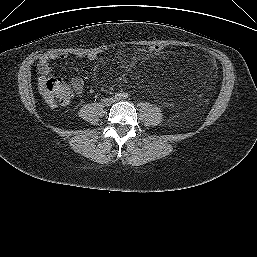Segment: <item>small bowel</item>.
Instances as JSON below:
<instances>
[{"label": "small bowel", "instance_id": "c3829d8e", "mask_svg": "<svg viewBox=\"0 0 257 257\" xmlns=\"http://www.w3.org/2000/svg\"><path fill=\"white\" fill-rule=\"evenodd\" d=\"M65 55L63 54H57V53H46L42 55L39 59L37 70L40 74L41 81H44L51 73L52 67H51V61L55 60H62L65 59ZM88 58L90 60H95L96 55L95 54H89ZM68 84L70 88L76 93L81 94L83 91V80L79 76H73L69 81Z\"/></svg>", "mask_w": 257, "mask_h": 257}]
</instances>
